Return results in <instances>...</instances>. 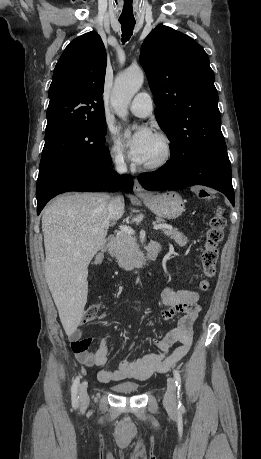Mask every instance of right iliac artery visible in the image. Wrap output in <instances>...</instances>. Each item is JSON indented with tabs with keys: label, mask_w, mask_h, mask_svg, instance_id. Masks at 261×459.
<instances>
[{
	"label": "right iliac artery",
	"mask_w": 261,
	"mask_h": 459,
	"mask_svg": "<svg viewBox=\"0 0 261 459\" xmlns=\"http://www.w3.org/2000/svg\"><path fill=\"white\" fill-rule=\"evenodd\" d=\"M79 383H80V376H78L71 387V393H72V405L74 408L78 407L79 404V395H78V388H79Z\"/></svg>",
	"instance_id": "obj_1"
}]
</instances>
